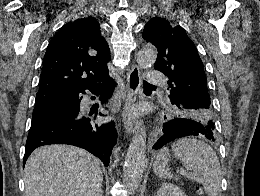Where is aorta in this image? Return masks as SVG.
Instances as JSON below:
<instances>
[{"instance_id": "obj_1", "label": "aorta", "mask_w": 260, "mask_h": 196, "mask_svg": "<svg viewBox=\"0 0 260 196\" xmlns=\"http://www.w3.org/2000/svg\"><path fill=\"white\" fill-rule=\"evenodd\" d=\"M157 59V50L152 45L143 47L137 54V64L141 69L150 68ZM146 157V132L138 131L130 145L125 157L124 179L130 192H135L142 180L147 167Z\"/></svg>"}]
</instances>
